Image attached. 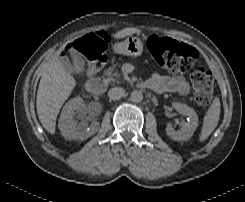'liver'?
<instances>
[{"label":"liver","instance_id":"1","mask_svg":"<svg viewBox=\"0 0 245 202\" xmlns=\"http://www.w3.org/2000/svg\"><path fill=\"white\" fill-rule=\"evenodd\" d=\"M138 32L137 28H125L114 37L121 39ZM75 86V79L66 72L61 62L52 61L47 64L39 83L36 108L42 126L50 134L55 133L58 113Z\"/></svg>","mask_w":245,"mask_h":202}]
</instances>
